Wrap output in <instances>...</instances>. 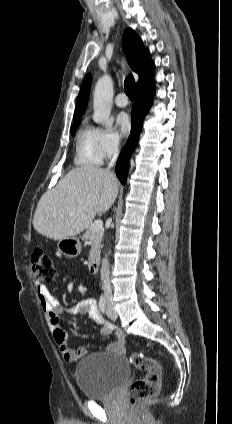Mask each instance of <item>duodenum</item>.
<instances>
[{"label":"duodenum","instance_id":"1","mask_svg":"<svg viewBox=\"0 0 232 424\" xmlns=\"http://www.w3.org/2000/svg\"><path fill=\"white\" fill-rule=\"evenodd\" d=\"M99 267V257L97 255H94L88 264V270L90 273H95L98 270Z\"/></svg>","mask_w":232,"mask_h":424}]
</instances>
